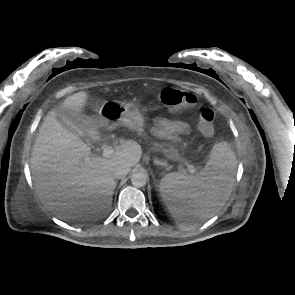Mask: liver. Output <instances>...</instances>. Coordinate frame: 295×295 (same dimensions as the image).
I'll use <instances>...</instances> for the list:
<instances>
[{
    "instance_id": "liver-1",
    "label": "liver",
    "mask_w": 295,
    "mask_h": 295,
    "mask_svg": "<svg viewBox=\"0 0 295 295\" xmlns=\"http://www.w3.org/2000/svg\"><path fill=\"white\" fill-rule=\"evenodd\" d=\"M87 98V92L75 93L60 108L78 117ZM88 134L95 141L100 139L95 127L88 129ZM141 156V146L132 140L122 143L108 158L93 156L87 144L61 126L52 110L44 118L31 153L36 193L61 219L104 212L112 204L115 167L126 164L131 168Z\"/></svg>"
}]
</instances>
